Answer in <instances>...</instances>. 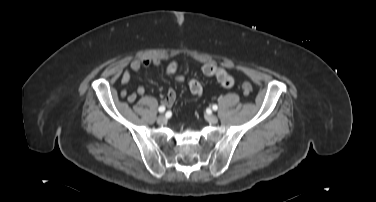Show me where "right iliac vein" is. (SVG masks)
Listing matches in <instances>:
<instances>
[{"instance_id": "right-iliac-vein-1", "label": "right iliac vein", "mask_w": 376, "mask_h": 202, "mask_svg": "<svg viewBox=\"0 0 376 202\" xmlns=\"http://www.w3.org/2000/svg\"><path fill=\"white\" fill-rule=\"evenodd\" d=\"M167 121L166 117L164 115H160L158 118H157V123L159 124H163Z\"/></svg>"}]
</instances>
